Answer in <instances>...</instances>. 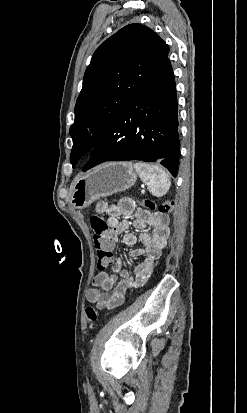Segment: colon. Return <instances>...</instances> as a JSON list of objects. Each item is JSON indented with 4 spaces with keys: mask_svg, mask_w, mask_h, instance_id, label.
<instances>
[{
    "mask_svg": "<svg viewBox=\"0 0 247 413\" xmlns=\"http://www.w3.org/2000/svg\"><path fill=\"white\" fill-rule=\"evenodd\" d=\"M134 203L139 204L138 200ZM141 206L145 207V210H159L161 216H169L174 209V202L172 200H162L156 204L153 200L145 198L140 202ZM89 221L92 222L91 226L95 229L94 239L95 245L97 246L99 265H111L112 263V252L114 250L110 239L106 237L108 223L103 220L100 216L90 215ZM87 323L90 327H93L99 320V313L97 309L93 306H87L84 310Z\"/></svg>",
    "mask_w": 247,
    "mask_h": 413,
    "instance_id": "colon-1",
    "label": "colon"
}]
</instances>
